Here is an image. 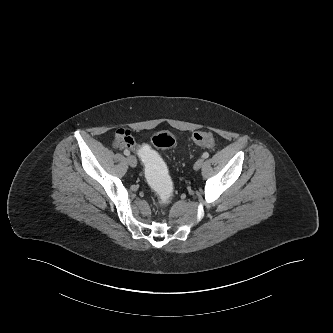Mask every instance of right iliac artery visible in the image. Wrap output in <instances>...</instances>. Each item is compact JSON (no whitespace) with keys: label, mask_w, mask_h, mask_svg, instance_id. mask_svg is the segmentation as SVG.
I'll use <instances>...</instances> for the list:
<instances>
[{"label":"right iliac artery","mask_w":333,"mask_h":333,"mask_svg":"<svg viewBox=\"0 0 333 333\" xmlns=\"http://www.w3.org/2000/svg\"><path fill=\"white\" fill-rule=\"evenodd\" d=\"M124 155L129 156L130 155V151L124 150Z\"/></svg>","instance_id":"82829eb1"}]
</instances>
